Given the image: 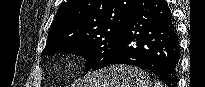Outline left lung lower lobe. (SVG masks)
Segmentation results:
<instances>
[{
  "label": "left lung lower lobe",
  "instance_id": "0a47b994",
  "mask_svg": "<svg viewBox=\"0 0 205 87\" xmlns=\"http://www.w3.org/2000/svg\"><path fill=\"white\" fill-rule=\"evenodd\" d=\"M180 46L172 13L165 0H137L105 66L126 64L146 68L169 87H176Z\"/></svg>",
  "mask_w": 205,
  "mask_h": 87
}]
</instances>
